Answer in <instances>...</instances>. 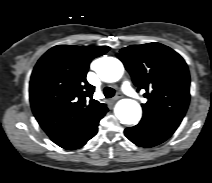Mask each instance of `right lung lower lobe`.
<instances>
[{"instance_id": "right-lung-lower-lobe-1", "label": "right lung lower lobe", "mask_w": 212, "mask_h": 183, "mask_svg": "<svg viewBox=\"0 0 212 183\" xmlns=\"http://www.w3.org/2000/svg\"><path fill=\"white\" fill-rule=\"evenodd\" d=\"M98 123L87 129L83 134L65 141L58 142L56 144L68 150H74L80 148L83 145H85L87 141H89L92 137L96 135L98 130Z\"/></svg>"}]
</instances>
